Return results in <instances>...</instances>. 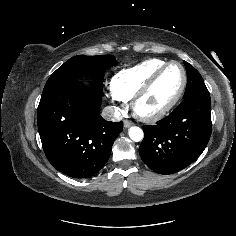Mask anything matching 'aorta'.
Returning a JSON list of instances; mask_svg holds the SVG:
<instances>
[{
  "instance_id": "aorta-1",
  "label": "aorta",
  "mask_w": 236,
  "mask_h": 236,
  "mask_svg": "<svg viewBox=\"0 0 236 236\" xmlns=\"http://www.w3.org/2000/svg\"><path fill=\"white\" fill-rule=\"evenodd\" d=\"M129 137L135 141V142H139L142 141L143 137H144V133L142 131L141 128L137 127V126H132L129 129Z\"/></svg>"
}]
</instances>
